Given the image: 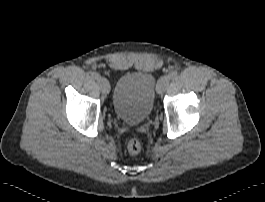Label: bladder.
<instances>
[{"label": "bladder", "instance_id": "bladder-1", "mask_svg": "<svg viewBox=\"0 0 265 202\" xmlns=\"http://www.w3.org/2000/svg\"><path fill=\"white\" fill-rule=\"evenodd\" d=\"M157 85L158 81L148 72L122 75L113 94L116 116L132 125L145 121L153 109Z\"/></svg>", "mask_w": 265, "mask_h": 202}]
</instances>
